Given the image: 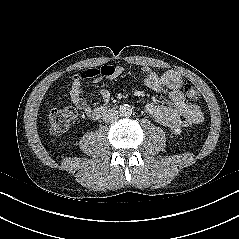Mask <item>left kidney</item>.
Wrapping results in <instances>:
<instances>
[{
  "label": "left kidney",
  "mask_w": 239,
  "mask_h": 239,
  "mask_svg": "<svg viewBox=\"0 0 239 239\" xmlns=\"http://www.w3.org/2000/svg\"><path fill=\"white\" fill-rule=\"evenodd\" d=\"M173 133H174V134H180V133H181V130H180L179 128L174 129V130H173Z\"/></svg>",
  "instance_id": "obj_1"
}]
</instances>
